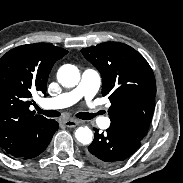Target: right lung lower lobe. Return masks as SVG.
<instances>
[{"mask_svg":"<svg viewBox=\"0 0 183 183\" xmlns=\"http://www.w3.org/2000/svg\"><path fill=\"white\" fill-rule=\"evenodd\" d=\"M58 127L59 124L55 120L50 119L34 134L28 152L25 155L16 158L30 159L41 154L50 143Z\"/></svg>","mask_w":183,"mask_h":183,"instance_id":"obj_1","label":"right lung lower lobe"}]
</instances>
